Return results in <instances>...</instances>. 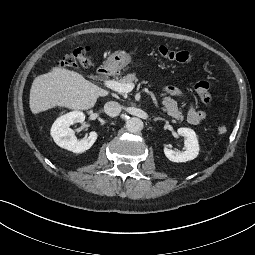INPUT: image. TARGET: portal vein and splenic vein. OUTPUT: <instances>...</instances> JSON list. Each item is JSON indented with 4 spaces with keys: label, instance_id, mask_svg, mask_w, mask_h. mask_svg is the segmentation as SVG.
<instances>
[{
    "label": "portal vein and splenic vein",
    "instance_id": "18ae733b",
    "mask_svg": "<svg viewBox=\"0 0 255 255\" xmlns=\"http://www.w3.org/2000/svg\"><path fill=\"white\" fill-rule=\"evenodd\" d=\"M104 84H105L106 87H108L111 90L116 91L118 93L131 92L135 87V85L133 83L122 84V83H120L118 81H114V80H106L104 82ZM143 91L148 93L151 96L155 106L158 108V102L156 100V97H155L154 93L149 91L147 88H144Z\"/></svg>",
    "mask_w": 255,
    "mask_h": 255
}]
</instances>
